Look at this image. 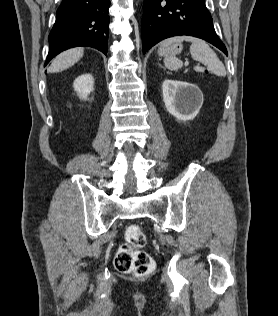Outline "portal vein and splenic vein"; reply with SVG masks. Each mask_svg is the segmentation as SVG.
<instances>
[{"instance_id":"1","label":"portal vein and splenic vein","mask_w":278,"mask_h":316,"mask_svg":"<svg viewBox=\"0 0 278 316\" xmlns=\"http://www.w3.org/2000/svg\"><path fill=\"white\" fill-rule=\"evenodd\" d=\"M185 65H188V61L185 62Z\"/></svg>"}]
</instances>
